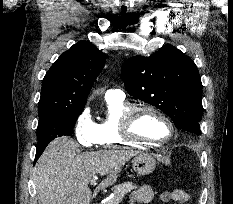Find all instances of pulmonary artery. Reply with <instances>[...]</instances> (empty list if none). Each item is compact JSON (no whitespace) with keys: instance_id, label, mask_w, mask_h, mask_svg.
Masks as SVG:
<instances>
[{"instance_id":"1","label":"pulmonary artery","mask_w":233,"mask_h":204,"mask_svg":"<svg viewBox=\"0 0 233 204\" xmlns=\"http://www.w3.org/2000/svg\"><path fill=\"white\" fill-rule=\"evenodd\" d=\"M124 97V93L120 89H108L105 93V98Z\"/></svg>"}]
</instances>
